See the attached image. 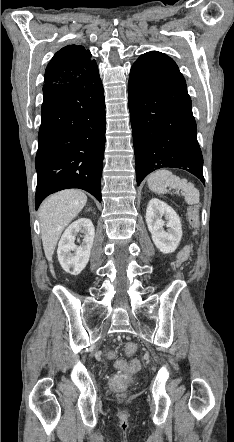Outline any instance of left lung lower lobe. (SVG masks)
Returning a JSON list of instances; mask_svg holds the SVG:
<instances>
[{
    "instance_id": "1",
    "label": "left lung lower lobe",
    "mask_w": 234,
    "mask_h": 442,
    "mask_svg": "<svg viewBox=\"0 0 234 442\" xmlns=\"http://www.w3.org/2000/svg\"><path fill=\"white\" fill-rule=\"evenodd\" d=\"M128 94L138 185L164 167L187 170L204 183L192 102L176 63L160 52L143 54L131 68Z\"/></svg>"
}]
</instances>
